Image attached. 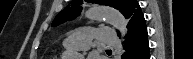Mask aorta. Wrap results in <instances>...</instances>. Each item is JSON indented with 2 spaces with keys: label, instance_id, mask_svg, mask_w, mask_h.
I'll return each instance as SVG.
<instances>
[{
  "label": "aorta",
  "instance_id": "762f6f07",
  "mask_svg": "<svg viewBox=\"0 0 193 59\" xmlns=\"http://www.w3.org/2000/svg\"><path fill=\"white\" fill-rule=\"evenodd\" d=\"M85 17L90 20L101 21L105 20L114 28L120 31L122 40L127 34V21L125 17L117 10L104 6H92L85 12ZM124 50H121V54ZM67 59H83V55L78 53L65 54Z\"/></svg>",
  "mask_w": 193,
  "mask_h": 59
}]
</instances>
